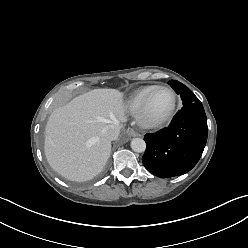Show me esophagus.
Returning <instances> with one entry per match:
<instances>
[{"mask_svg":"<svg viewBox=\"0 0 248 248\" xmlns=\"http://www.w3.org/2000/svg\"><path fill=\"white\" fill-rule=\"evenodd\" d=\"M127 133H128V135L131 136V137L139 136L138 132L135 131V130L132 129V128L128 129V130H127Z\"/></svg>","mask_w":248,"mask_h":248,"instance_id":"obj_1","label":"esophagus"}]
</instances>
